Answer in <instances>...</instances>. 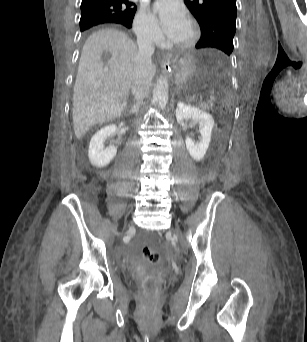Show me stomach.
Returning a JSON list of instances; mask_svg holds the SVG:
<instances>
[{
    "label": "stomach",
    "mask_w": 307,
    "mask_h": 342,
    "mask_svg": "<svg viewBox=\"0 0 307 342\" xmlns=\"http://www.w3.org/2000/svg\"><path fill=\"white\" fill-rule=\"evenodd\" d=\"M168 69L174 73L179 90L187 92L192 89V78L196 71V59L193 56L185 55L174 58L169 62Z\"/></svg>",
    "instance_id": "0dacf381"
}]
</instances>
